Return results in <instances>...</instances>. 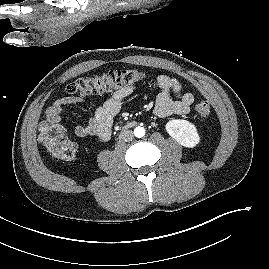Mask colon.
<instances>
[{
    "instance_id": "obj_1",
    "label": "colon",
    "mask_w": 269,
    "mask_h": 269,
    "mask_svg": "<svg viewBox=\"0 0 269 269\" xmlns=\"http://www.w3.org/2000/svg\"><path fill=\"white\" fill-rule=\"evenodd\" d=\"M144 77V73L137 69L114 70L100 75L80 77L66 86V92L77 96L99 94L113 88L131 85ZM195 113L200 119H207L211 114L210 104L207 101L199 102L195 107ZM38 138L55 158L71 160L76 155V144L65 136L59 123L49 119L42 121Z\"/></svg>"
}]
</instances>
